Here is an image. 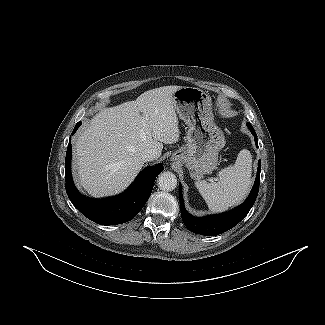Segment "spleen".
Returning <instances> with one entry per match:
<instances>
[{"instance_id": "1", "label": "spleen", "mask_w": 325, "mask_h": 325, "mask_svg": "<svg viewBox=\"0 0 325 325\" xmlns=\"http://www.w3.org/2000/svg\"><path fill=\"white\" fill-rule=\"evenodd\" d=\"M251 165L252 156L248 150L243 149L239 152L235 164L219 171L218 182H195L209 209L223 211L243 200L252 184Z\"/></svg>"}]
</instances>
